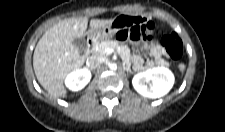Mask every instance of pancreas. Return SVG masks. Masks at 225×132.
<instances>
[{
    "label": "pancreas",
    "instance_id": "obj_1",
    "mask_svg": "<svg viewBox=\"0 0 225 132\" xmlns=\"http://www.w3.org/2000/svg\"><path fill=\"white\" fill-rule=\"evenodd\" d=\"M107 48H112L116 51H118V53L121 55V58L123 60V62L130 67L131 65V61H130V49L128 46L126 45H119V43L117 41H113V40H105V41H101L99 43H97L94 47V52H96L99 55L105 56L107 55L105 53V50ZM162 65L164 66H169V63L167 61H162Z\"/></svg>",
    "mask_w": 225,
    "mask_h": 132
}]
</instances>
